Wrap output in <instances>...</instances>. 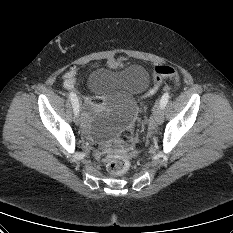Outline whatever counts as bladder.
I'll return each instance as SVG.
<instances>
[{
    "label": "bladder",
    "instance_id": "1",
    "mask_svg": "<svg viewBox=\"0 0 233 233\" xmlns=\"http://www.w3.org/2000/svg\"><path fill=\"white\" fill-rule=\"evenodd\" d=\"M96 93L120 92L126 97L117 103H105L94 115L87 114L85 130L95 140L108 139L130 126L137 113V106L130 96L145 92L150 85L147 70L140 65H130L122 70L99 68L87 80ZM96 107L93 105L90 111Z\"/></svg>",
    "mask_w": 233,
    "mask_h": 233
}]
</instances>
